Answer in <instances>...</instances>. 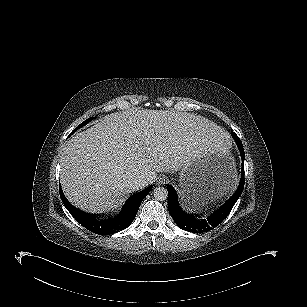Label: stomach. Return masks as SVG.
<instances>
[{
    "label": "stomach",
    "mask_w": 307,
    "mask_h": 307,
    "mask_svg": "<svg viewBox=\"0 0 307 307\" xmlns=\"http://www.w3.org/2000/svg\"><path fill=\"white\" fill-rule=\"evenodd\" d=\"M179 175L181 202L191 211L230 193L237 180L232 155L220 151L203 152L183 165Z\"/></svg>",
    "instance_id": "stomach-1"
}]
</instances>
